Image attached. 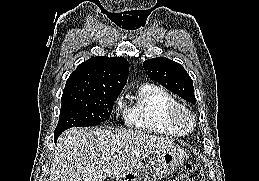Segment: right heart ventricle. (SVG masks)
Returning a JSON list of instances; mask_svg holds the SVG:
<instances>
[{
    "label": "right heart ventricle",
    "instance_id": "1",
    "mask_svg": "<svg viewBox=\"0 0 259 181\" xmlns=\"http://www.w3.org/2000/svg\"><path fill=\"white\" fill-rule=\"evenodd\" d=\"M182 105L166 89L155 84H144L134 98L124 106L128 127L167 136H183L187 130L176 124L173 113Z\"/></svg>",
    "mask_w": 259,
    "mask_h": 181
}]
</instances>
